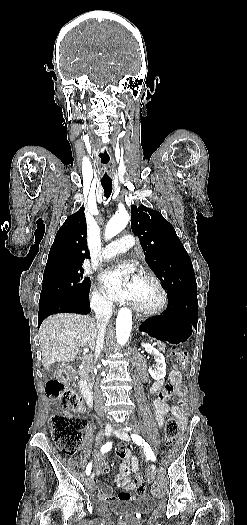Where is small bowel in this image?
<instances>
[{"label":"small bowel","instance_id":"small-bowel-1","mask_svg":"<svg viewBox=\"0 0 247 525\" xmlns=\"http://www.w3.org/2000/svg\"><path fill=\"white\" fill-rule=\"evenodd\" d=\"M169 380H170V383L176 387L177 394L179 396H183L185 393V389L182 387L181 373L178 370H173L170 373ZM156 389L157 387H153L152 392L154 393ZM153 408H154L155 421L159 427H162L164 425L165 417L168 414H172L176 416L179 420L180 425H183L185 422V415H184V411L182 407L169 406L165 402V399L161 398L160 396L154 399ZM117 454L121 462H120L119 471L115 478V481L123 489V491L118 494L117 499L120 501H128L132 499L131 492L135 488V485L131 481L129 475L131 472H135V473L139 472L140 470L139 460L136 456L132 455L130 451L126 449L124 446L118 447ZM102 473L104 475H108L109 473H112V470H109L108 468H104L102 470ZM94 485L95 487H97L100 498H103V499L111 498L109 495L105 494L109 490L108 482L106 479L104 478L97 479L95 480Z\"/></svg>","mask_w":247,"mask_h":525}]
</instances>
